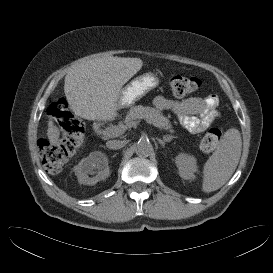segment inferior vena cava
<instances>
[{"instance_id":"inferior-vena-cava-1","label":"inferior vena cava","mask_w":273,"mask_h":273,"mask_svg":"<svg viewBox=\"0 0 273 273\" xmlns=\"http://www.w3.org/2000/svg\"><path fill=\"white\" fill-rule=\"evenodd\" d=\"M124 145H125V142L120 140H110V141H107L106 143V146L109 149H115V150L124 147Z\"/></svg>"}]
</instances>
